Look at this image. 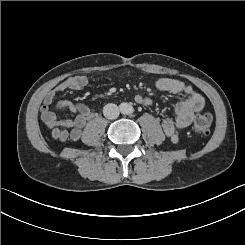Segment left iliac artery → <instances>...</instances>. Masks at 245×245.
<instances>
[{
	"label": "left iliac artery",
	"instance_id": "obj_1",
	"mask_svg": "<svg viewBox=\"0 0 245 245\" xmlns=\"http://www.w3.org/2000/svg\"><path fill=\"white\" fill-rule=\"evenodd\" d=\"M134 112V109L133 108H130L129 110H128V114H132Z\"/></svg>",
	"mask_w": 245,
	"mask_h": 245
}]
</instances>
